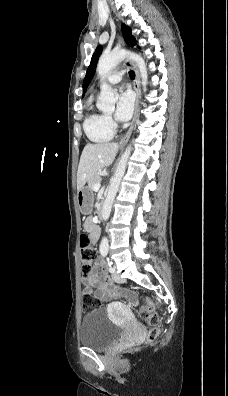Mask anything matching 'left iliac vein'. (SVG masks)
I'll return each mask as SVG.
<instances>
[{
  "instance_id": "4c4485c4",
  "label": "left iliac vein",
  "mask_w": 228,
  "mask_h": 396,
  "mask_svg": "<svg viewBox=\"0 0 228 396\" xmlns=\"http://www.w3.org/2000/svg\"><path fill=\"white\" fill-rule=\"evenodd\" d=\"M114 268V267H113ZM115 269V268H114ZM112 278L118 283H123L125 280L121 278L115 271L112 273Z\"/></svg>"
}]
</instances>
